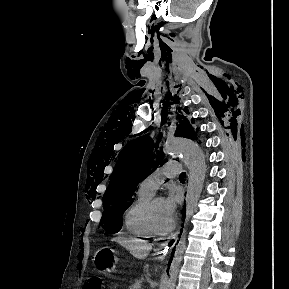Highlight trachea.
<instances>
[{"instance_id":"3493384b","label":"trachea","mask_w":289,"mask_h":289,"mask_svg":"<svg viewBox=\"0 0 289 289\" xmlns=\"http://www.w3.org/2000/svg\"><path fill=\"white\" fill-rule=\"evenodd\" d=\"M185 176H186V174H185L184 172H182V173L180 174L179 178H180V179H184Z\"/></svg>"}]
</instances>
